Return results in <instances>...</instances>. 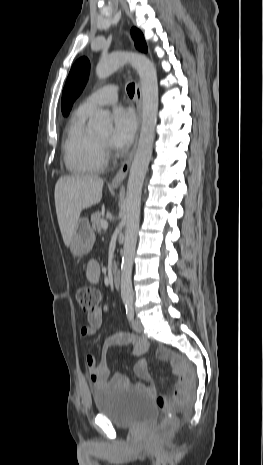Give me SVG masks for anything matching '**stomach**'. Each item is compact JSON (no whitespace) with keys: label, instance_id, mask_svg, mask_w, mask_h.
Listing matches in <instances>:
<instances>
[{"label":"stomach","instance_id":"obj_1","mask_svg":"<svg viewBox=\"0 0 263 465\" xmlns=\"http://www.w3.org/2000/svg\"><path fill=\"white\" fill-rule=\"evenodd\" d=\"M95 242V234L90 226L89 220L85 217L80 218L74 228L70 251L74 256L82 257L88 254Z\"/></svg>","mask_w":263,"mask_h":465}]
</instances>
